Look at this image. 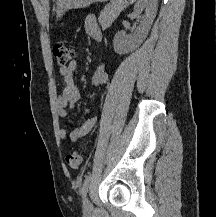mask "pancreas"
<instances>
[{"instance_id":"pancreas-1","label":"pancreas","mask_w":216,"mask_h":217,"mask_svg":"<svg viewBox=\"0 0 216 217\" xmlns=\"http://www.w3.org/2000/svg\"><path fill=\"white\" fill-rule=\"evenodd\" d=\"M124 7V0H112L111 3L105 6L98 18L99 24L102 26L103 30L111 26Z\"/></svg>"}]
</instances>
